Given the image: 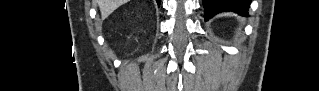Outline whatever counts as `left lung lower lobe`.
Segmentation results:
<instances>
[{
  "label": "left lung lower lobe",
  "mask_w": 319,
  "mask_h": 91,
  "mask_svg": "<svg viewBox=\"0 0 319 91\" xmlns=\"http://www.w3.org/2000/svg\"><path fill=\"white\" fill-rule=\"evenodd\" d=\"M250 2V0H203L205 20L223 11L247 15Z\"/></svg>",
  "instance_id": "obj_1"
}]
</instances>
